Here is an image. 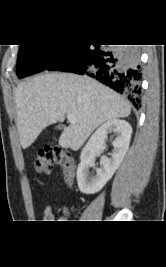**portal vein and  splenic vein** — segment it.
I'll list each match as a JSON object with an SVG mask.
<instances>
[{
  "instance_id": "1",
  "label": "portal vein and splenic vein",
  "mask_w": 166,
  "mask_h": 267,
  "mask_svg": "<svg viewBox=\"0 0 166 267\" xmlns=\"http://www.w3.org/2000/svg\"><path fill=\"white\" fill-rule=\"evenodd\" d=\"M67 120L71 123V124H75L76 123V118L71 115V114H67Z\"/></svg>"
}]
</instances>
